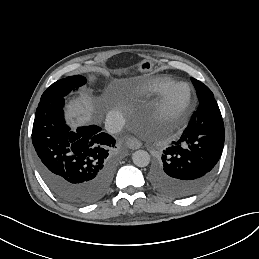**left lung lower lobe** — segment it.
I'll return each mask as SVG.
<instances>
[{
  "mask_svg": "<svg viewBox=\"0 0 259 259\" xmlns=\"http://www.w3.org/2000/svg\"><path fill=\"white\" fill-rule=\"evenodd\" d=\"M224 123L213 95L199 106L179 139L163 151L150 172L159 193L183 198L201 190L211 179L224 146Z\"/></svg>",
  "mask_w": 259,
  "mask_h": 259,
  "instance_id": "obj_1",
  "label": "left lung lower lobe"
}]
</instances>
